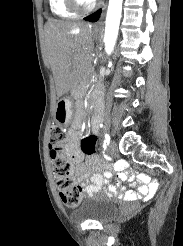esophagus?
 <instances>
[{"label":"esophagus","instance_id":"esophagus-1","mask_svg":"<svg viewBox=\"0 0 183 246\" xmlns=\"http://www.w3.org/2000/svg\"><path fill=\"white\" fill-rule=\"evenodd\" d=\"M107 2L102 5L100 19L97 21L96 26H100L103 22L106 12Z\"/></svg>","mask_w":183,"mask_h":246}]
</instances>
